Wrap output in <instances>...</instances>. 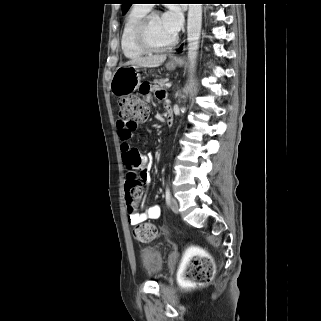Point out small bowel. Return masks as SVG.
I'll list each match as a JSON object with an SVG mask.
<instances>
[{
    "instance_id": "obj_1",
    "label": "small bowel",
    "mask_w": 321,
    "mask_h": 321,
    "mask_svg": "<svg viewBox=\"0 0 321 321\" xmlns=\"http://www.w3.org/2000/svg\"><path fill=\"white\" fill-rule=\"evenodd\" d=\"M151 91H154V94L157 99L165 102L166 110L170 111L171 107L167 101V95L165 91L158 88H152L149 82H140L139 87H137L136 89L137 94L139 95V97H142V100L146 105H149L151 103V97H150ZM117 129H118V137L120 141V149L122 152V158L126 165L129 155L133 152H138L137 149L131 147V145L129 144V140L133 136L134 129L128 127L120 120L117 122ZM142 158L145 161V166L139 171V174H140L141 180L148 184L151 181V177L149 174V167L147 164L148 160L144 156H142ZM160 214H161V208L159 205L146 206L142 209L141 212L130 213L128 216V222L129 224L135 226V225L144 223L147 220L158 219L160 217Z\"/></svg>"
}]
</instances>
